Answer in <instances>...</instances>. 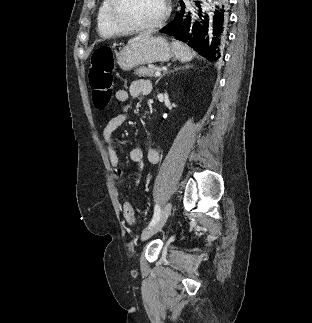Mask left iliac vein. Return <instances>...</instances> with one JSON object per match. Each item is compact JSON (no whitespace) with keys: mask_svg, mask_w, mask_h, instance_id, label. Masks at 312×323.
Instances as JSON below:
<instances>
[{"mask_svg":"<svg viewBox=\"0 0 312 323\" xmlns=\"http://www.w3.org/2000/svg\"><path fill=\"white\" fill-rule=\"evenodd\" d=\"M171 210H172L171 202L166 203V205L164 206L159 216V219L142 232V237H141L142 241H145L146 239L150 238L152 235L156 234L158 231L161 230V228L164 226L165 222L167 221V218L169 217Z\"/></svg>","mask_w":312,"mask_h":323,"instance_id":"obj_1","label":"left iliac vein"}]
</instances>
